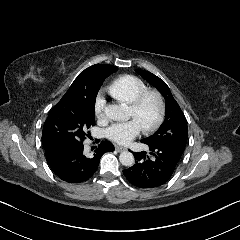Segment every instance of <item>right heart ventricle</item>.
<instances>
[{
    "label": "right heart ventricle",
    "instance_id": "right-heart-ventricle-1",
    "mask_svg": "<svg viewBox=\"0 0 240 240\" xmlns=\"http://www.w3.org/2000/svg\"><path fill=\"white\" fill-rule=\"evenodd\" d=\"M146 88L145 83L140 78L125 75L110 84L108 93L119 103L130 105L136 96L146 90Z\"/></svg>",
    "mask_w": 240,
    "mask_h": 240
}]
</instances>
